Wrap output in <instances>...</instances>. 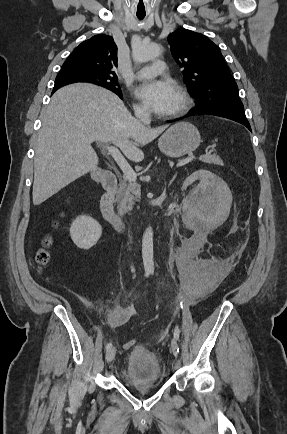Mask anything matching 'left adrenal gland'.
<instances>
[{"instance_id": "left-adrenal-gland-1", "label": "left adrenal gland", "mask_w": 287, "mask_h": 434, "mask_svg": "<svg viewBox=\"0 0 287 434\" xmlns=\"http://www.w3.org/2000/svg\"><path fill=\"white\" fill-rule=\"evenodd\" d=\"M175 177H176V175H174V177H173V178L171 179V181H170L169 185H171V184H172V182L174 181Z\"/></svg>"}]
</instances>
